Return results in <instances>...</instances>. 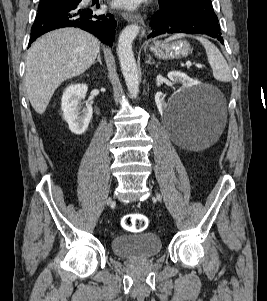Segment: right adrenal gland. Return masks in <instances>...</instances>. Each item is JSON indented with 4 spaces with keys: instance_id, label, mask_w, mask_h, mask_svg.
Instances as JSON below:
<instances>
[{
    "instance_id": "1",
    "label": "right adrenal gland",
    "mask_w": 267,
    "mask_h": 301,
    "mask_svg": "<svg viewBox=\"0 0 267 301\" xmlns=\"http://www.w3.org/2000/svg\"><path fill=\"white\" fill-rule=\"evenodd\" d=\"M97 62H99V63L102 65L100 51H99V53H98L97 60H96L93 64H95V63H97Z\"/></svg>"
}]
</instances>
